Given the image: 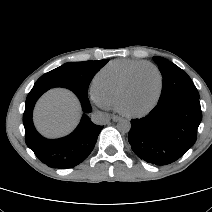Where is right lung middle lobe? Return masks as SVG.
I'll return each instance as SVG.
<instances>
[{
    "mask_svg": "<svg viewBox=\"0 0 212 212\" xmlns=\"http://www.w3.org/2000/svg\"><path fill=\"white\" fill-rule=\"evenodd\" d=\"M109 60L69 62L45 73L35 85L66 87L87 94L89 84L96 74Z\"/></svg>",
    "mask_w": 212,
    "mask_h": 212,
    "instance_id": "obj_1",
    "label": "right lung middle lobe"
}]
</instances>
